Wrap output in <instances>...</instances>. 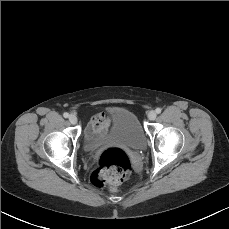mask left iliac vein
Returning a JSON list of instances; mask_svg holds the SVG:
<instances>
[{"label":"left iliac vein","mask_w":229,"mask_h":229,"mask_svg":"<svg viewBox=\"0 0 229 229\" xmlns=\"http://www.w3.org/2000/svg\"><path fill=\"white\" fill-rule=\"evenodd\" d=\"M156 112L155 111H153V110H151L149 113H148V119L150 120V121H153L155 118H156Z\"/></svg>","instance_id":"obj_1"}]
</instances>
